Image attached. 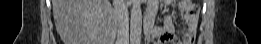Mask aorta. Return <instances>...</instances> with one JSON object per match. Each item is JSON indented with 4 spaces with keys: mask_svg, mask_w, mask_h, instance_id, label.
Returning <instances> with one entry per match:
<instances>
[{
    "mask_svg": "<svg viewBox=\"0 0 261 44\" xmlns=\"http://www.w3.org/2000/svg\"><path fill=\"white\" fill-rule=\"evenodd\" d=\"M142 32L141 0H132L130 17V40L133 44H139Z\"/></svg>",
    "mask_w": 261,
    "mask_h": 44,
    "instance_id": "obj_1",
    "label": "aorta"
}]
</instances>
